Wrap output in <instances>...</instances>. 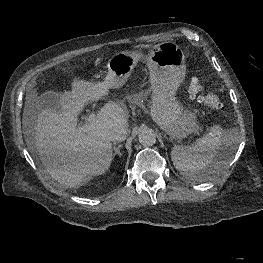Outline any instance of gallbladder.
Masks as SVG:
<instances>
[{"label": "gallbladder", "instance_id": "gallbladder-1", "mask_svg": "<svg viewBox=\"0 0 263 263\" xmlns=\"http://www.w3.org/2000/svg\"><path fill=\"white\" fill-rule=\"evenodd\" d=\"M39 106L41 109L57 112L61 109L59 94L55 92H47L39 98Z\"/></svg>", "mask_w": 263, "mask_h": 263}]
</instances>
